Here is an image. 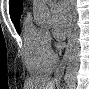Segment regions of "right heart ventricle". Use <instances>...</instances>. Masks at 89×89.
I'll use <instances>...</instances> for the list:
<instances>
[{"instance_id":"e07e8e85","label":"right heart ventricle","mask_w":89,"mask_h":89,"mask_svg":"<svg viewBox=\"0 0 89 89\" xmlns=\"http://www.w3.org/2000/svg\"><path fill=\"white\" fill-rule=\"evenodd\" d=\"M24 62L35 75L49 74L56 65L55 56L44 45V32L35 27L28 15L23 23Z\"/></svg>"}]
</instances>
